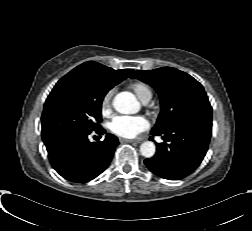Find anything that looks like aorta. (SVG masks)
Listing matches in <instances>:
<instances>
[{
	"label": "aorta",
	"instance_id": "obj_1",
	"mask_svg": "<svg viewBox=\"0 0 252 231\" xmlns=\"http://www.w3.org/2000/svg\"><path fill=\"white\" fill-rule=\"evenodd\" d=\"M113 107L116 111L122 114H133L139 109V102L136 97L130 92L118 93L113 99ZM156 146L151 141H145L140 145V153L146 158L154 156Z\"/></svg>",
	"mask_w": 252,
	"mask_h": 231
}]
</instances>
